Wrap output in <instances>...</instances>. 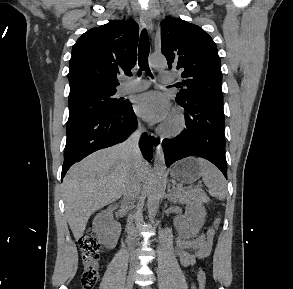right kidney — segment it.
<instances>
[{"mask_svg":"<svg viewBox=\"0 0 293 289\" xmlns=\"http://www.w3.org/2000/svg\"><path fill=\"white\" fill-rule=\"evenodd\" d=\"M108 224L109 218L106 211H102L101 213L97 214L93 220L94 230L100 235L106 232Z\"/></svg>","mask_w":293,"mask_h":289,"instance_id":"ca27d5eb","label":"right kidney"}]
</instances>
